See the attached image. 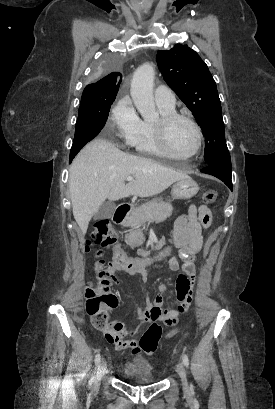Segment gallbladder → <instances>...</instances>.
<instances>
[{"mask_svg": "<svg viewBox=\"0 0 275 409\" xmlns=\"http://www.w3.org/2000/svg\"><path fill=\"white\" fill-rule=\"evenodd\" d=\"M116 211V205L115 202H110V200H106V202H103V205H101L98 213H95L93 219H111L112 215H114Z\"/></svg>", "mask_w": 275, "mask_h": 409, "instance_id": "bac80fb5", "label": "gallbladder"}]
</instances>
